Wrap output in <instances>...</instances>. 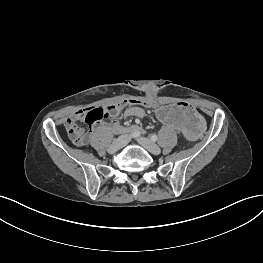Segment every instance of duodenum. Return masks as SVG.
<instances>
[{
  "label": "duodenum",
  "mask_w": 263,
  "mask_h": 263,
  "mask_svg": "<svg viewBox=\"0 0 263 263\" xmlns=\"http://www.w3.org/2000/svg\"><path fill=\"white\" fill-rule=\"evenodd\" d=\"M113 128H117V126H114ZM134 129H138V127L137 126H131L129 128H121L120 130L123 132H126V131H132Z\"/></svg>",
  "instance_id": "duodenum-1"
}]
</instances>
